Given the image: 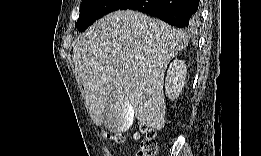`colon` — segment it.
<instances>
[{
  "mask_svg": "<svg viewBox=\"0 0 261 156\" xmlns=\"http://www.w3.org/2000/svg\"><path fill=\"white\" fill-rule=\"evenodd\" d=\"M147 134L146 139L142 142L140 155L149 156L157 155L159 151L158 143L156 141V132L154 130L144 129ZM109 139H112L116 143H122L124 141V135L120 133L105 134Z\"/></svg>",
  "mask_w": 261,
  "mask_h": 156,
  "instance_id": "1",
  "label": "colon"
}]
</instances>
